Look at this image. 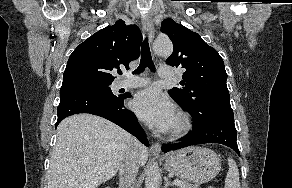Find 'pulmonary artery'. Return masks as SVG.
<instances>
[{
	"label": "pulmonary artery",
	"instance_id": "obj_1",
	"mask_svg": "<svg viewBox=\"0 0 292 188\" xmlns=\"http://www.w3.org/2000/svg\"><path fill=\"white\" fill-rule=\"evenodd\" d=\"M175 76V72L173 68L168 66H161L159 68V77L163 79H172ZM150 80L145 77L141 76H127L125 79H122L118 86L120 88H136V87H143L148 85Z\"/></svg>",
	"mask_w": 292,
	"mask_h": 188
}]
</instances>
